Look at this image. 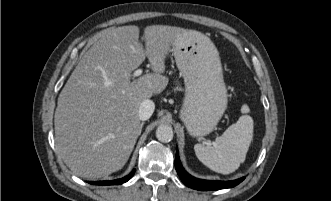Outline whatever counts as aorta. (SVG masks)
<instances>
[{
    "label": "aorta",
    "instance_id": "762f6f07",
    "mask_svg": "<svg viewBox=\"0 0 331 201\" xmlns=\"http://www.w3.org/2000/svg\"><path fill=\"white\" fill-rule=\"evenodd\" d=\"M173 129L169 125H160L156 129V137L160 142L168 143L173 139Z\"/></svg>",
    "mask_w": 331,
    "mask_h": 201
}]
</instances>
